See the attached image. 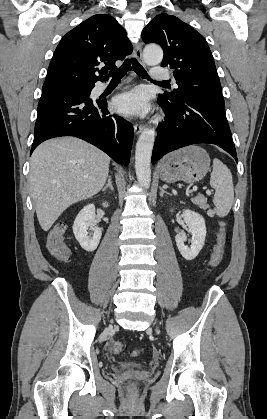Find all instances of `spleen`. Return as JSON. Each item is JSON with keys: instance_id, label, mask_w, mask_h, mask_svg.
Listing matches in <instances>:
<instances>
[{"instance_id": "obj_1", "label": "spleen", "mask_w": 267, "mask_h": 419, "mask_svg": "<svg viewBox=\"0 0 267 419\" xmlns=\"http://www.w3.org/2000/svg\"><path fill=\"white\" fill-rule=\"evenodd\" d=\"M210 185L215 189L213 198L215 213L219 217H225L234 201V187L230 170L217 158L213 160Z\"/></svg>"}]
</instances>
